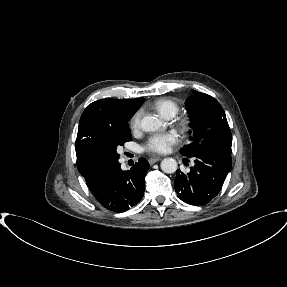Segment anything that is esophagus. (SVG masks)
Here are the masks:
<instances>
[{
  "mask_svg": "<svg viewBox=\"0 0 287 287\" xmlns=\"http://www.w3.org/2000/svg\"><path fill=\"white\" fill-rule=\"evenodd\" d=\"M161 159L162 158L160 156H155V157H152V158L149 159V163L150 164H154V163L160 161Z\"/></svg>",
  "mask_w": 287,
  "mask_h": 287,
  "instance_id": "obj_1",
  "label": "esophagus"
}]
</instances>
